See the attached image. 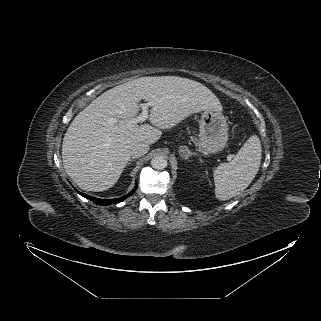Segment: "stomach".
<instances>
[{
  "label": "stomach",
  "instance_id": "1",
  "mask_svg": "<svg viewBox=\"0 0 321 321\" xmlns=\"http://www.w3.org/2000/svg\"><path fill=\"white\" fill-rule=\"evenodd\" d=\"M199 125L200 147L207 153L223 150L228 141V124L222 110H204Z\"/></svg>",
  "mask_w": 321,
  "mask_h": 321
}]
</instances>
